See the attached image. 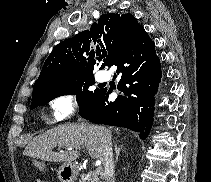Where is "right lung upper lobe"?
Returning a JSON list of instances; mask_svg holds the SVG:
<instances>
[{
  "mask_svg": "<svg viewBox=\"0 0 211 182\" xmlns=\"http://www.w3.org/2000/svg\"><path fill=\"white\" fill-rule=\"evenodd\" d=\"M146 33L130 14L102 15L90 30H85L54 47L46 59L33 93L59 82L85 77L101 63L109 66L118 48Z\"/></svg>",
  "mask_w": 211,
  "mask_h": 182,
  "instance_id": "obj_1",
  "label": "right lung upper lobe"
}]
</instances>
